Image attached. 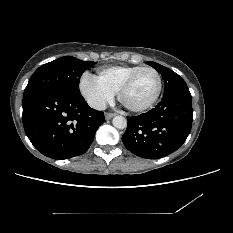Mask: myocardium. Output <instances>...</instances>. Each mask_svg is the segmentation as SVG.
Masks as SVG:
<instances>
[{
	"label": "myocardium",
	"instance_id": "obj_1",
	"mask_svg": "<svg viewBox=\"0 0 233 233\" xmlns=\"http://www.w3.org/2000/svg\"><path fill=\"white\" fill-rule=\"evenodd\" d=\"M146 71H152L156 74L157 77V89H156V93L153 96V98L148 101L146 104L139 106V107H131V106H127L123 103V96L125 94V92L134 84V82L137 80V78L143 74ZM162 91V77L160 72L154 68V67H143L140 70L134 72L133 74H131L125 81L124 83L120 86V88L117 91V98L119 100V102L121 103V105L128 111L130 112H134V113H138V112H143L146 111L148 109H150L159 99L160 94Z\"/></svg>",
	"mask_w": 233,
	"mask_h": 233
}]
</instances>
